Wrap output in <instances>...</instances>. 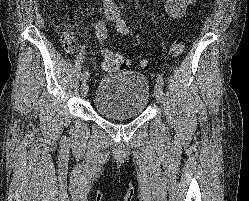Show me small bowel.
I'll return each instance as SVG.
<instances>
[{
    "label": "small bowel",
    "instance_id": "small-bowel-1",
    "mask_svg": "<svg viewBox=\"0 0 249 201\" xmlns=\"http://www.w3.org/2000/svg\"><path fill=\"white\" fill-rule=\"evenodd\" d=\"M198 0H165L164 9L173 19H181L184 17L189 7L197 3ZM60 42L69 54L73 53L71 47V36L68 31L63 32Z\"/></svg>",
    "mask_w": 249,
    "mask_h": 201
}]
</instances>
